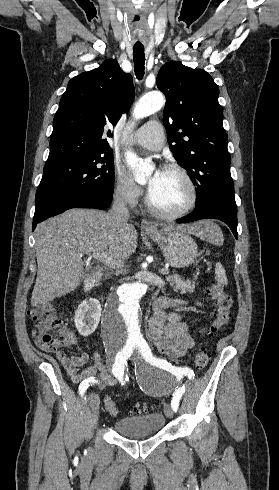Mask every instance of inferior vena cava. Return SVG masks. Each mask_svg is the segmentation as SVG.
<instances>
[{
    "instance_id": "602c4592",
    "label": "inferior vena cava",
    "mask_w": 279,
    "mask_h": 490,
    "mask_svg": "<svg viewBox=\"0 0 279 490\" xmlns=\"http://www.w3.org/2000/svg\"><path fill=\"white\" fill-rule=\"evenodd\" d=\"M110 216L115 224L128 226L130 218L129 210L126 208V192H119L113 200V206L110 210Z\"/></svg>"
}]
</instances>
